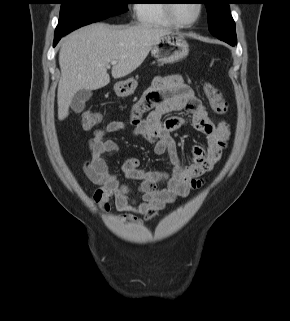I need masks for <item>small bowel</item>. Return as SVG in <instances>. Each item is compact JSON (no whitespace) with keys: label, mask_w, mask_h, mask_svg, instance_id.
I'll return each instance as SVG.
<instances>
[{"label":"small bowel","mask_w":290,"mask_h":321,"mask_svg":"<svg viewBox=\"0 0 290 321\" xmlns=\"http://www.w3.org/2000/svg\"><path fill=\"white\" fill-rule=\"evenodd\" d=\"M178 111L188 112L190 118L166 117ZM131 120L132 134L152 143L156 155H167L170 168H141L140 161L130 157L123 161L121 171L127 178L139 181V185L133 188L122 183L110 170L103 155L118 152L117 142L107 136L124 130L126 125L122 121H110L95 130L88 140L89 157L83 164V171L93 184L99 186L94 200L104 212H109L114 205L117 210L125 212L122 215L124 220L142 223L176 198L186 197L201 186L202 178L226 148L230 126L225 120L209 114L180 75L155 78L152 87L134 104ZM187 125L207 135L208 147L194 146L193 161L185 164L171 133Z\"/></svg>","instance_id":"small-bowel-1"}]
</instances>
